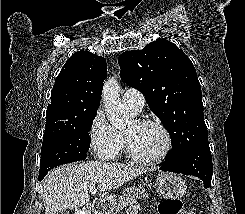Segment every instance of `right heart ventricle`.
<instances>
[{
    "label": "right heart ventricle",
    "instance_id": "right-heart-ventricle-1",
    "mask_svg": "<svg viewBox=\"0 0 245 214\" xmlns=\"http://www.w3.org/2000/svg\"><path fill=\"white\" fill-rule=\"evenodd\" d=\"M131 113H134L133 111H131L130 109H128Z\"/></svg>",
    "mask_w": 245,
    "mask_h": 214
}]
</instances>
